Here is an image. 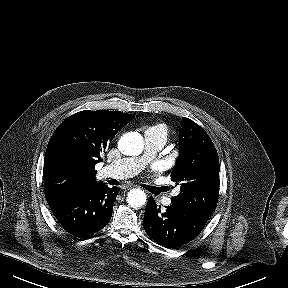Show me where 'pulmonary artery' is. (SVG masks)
I'll use <instances>...</instances> for the list:
<instances>
[{
    "mask_svg": "<svg viewBox=\"0 0 288 288\" xmlns=\"http://www.w3.org/2000/svg\"><path fill=\"white\" fill-rule=\"evenodd\" d=\"M145 152L139 157L124 158L110 163L102 170L103 176L116 179H124L137 175L166 144L167 138L164 132L157 128H149L145 131ZM171 197H165L163 204L171 205Z\"/></svg>",
    "mask_w": 288,
    "mask_h": 288,
    "instance_id": "1",
    "label": "pulmonary artery"
}]
</instances>
